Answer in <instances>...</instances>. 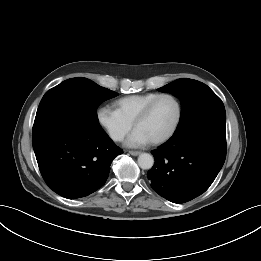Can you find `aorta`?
<instances>
[{"label":"aorta","mask_w":261,"mask_h":261,"mask_svg":"<svg viewBox=\"0 0 261 261\" xmlns=\"http://www.w3.org/2000/svg\"><path fill=\"white\" fill-rule=\"evenodd\" d=\"M138 165L142 169H151L154 165V157L149 153H142L138 157Z\"/></svg>","instance_id":"762f6f07"}]
</instances>
